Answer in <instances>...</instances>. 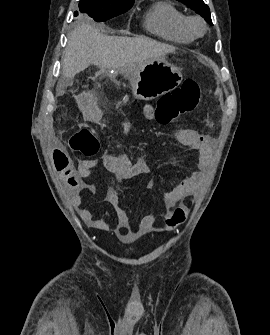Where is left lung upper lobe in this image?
<instances>
[{
    "label": "left lung upper lobe",
    "mask_w": 270,
    "mask_h": 335,
    "mask_svg": "<svg viewBox=\"0 0 270 335\" xmlns=\"http://www.w3.org/2000/svg\"><path fill=\"white\" fill-rule=\"evenodd\" d=\"M178 1L184 3L192 10H195V12L200 14L210 25H213L210 16V9L203 2V0H178Z\"/></svg>",
    "instance_id": "left-lung-upper-lobe-1"
}]
</instances>
